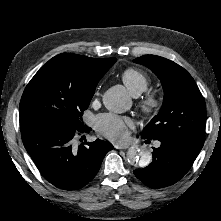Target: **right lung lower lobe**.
I'll return each instance as SVG.
<instances>
[{"label":"right lung lower lobe","instance_id":"obj_1","mask_svg":"<svg viewBox=\"0 0 221 221\" xmlns=\"http://www.w3.org/2000/svg\"><path fill=\"white\" fill-rule=\"evenodd\" d=\"M88 131L86 126L75 129L61 124H39L21 135L44 178L57 188L71 191L87 185L99 171L106 153L113 149L112 144L100 139L84 140L77 145V134Z\"/></svg>","mask_w":221,"mask_h":221}]
</instances>
